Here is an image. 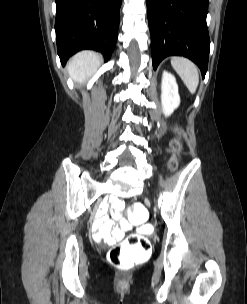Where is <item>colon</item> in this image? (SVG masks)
Segmentation results:
<instances>
[{
  "instance_id": "colon-1",
  "label": "colon",
  "mask_w": 247,
  "mask_h": 304,
  "mask_svg": "<svg viewBox=\"0 0 247 304\" xmlns=\"http://www.w3.org/2000/svg\"><path fill=\"white\" fill-rule=\"evenodd\" d=\"M171 147L174 152L171 167L174 168L177 165V154L181 145L179 141L175 140L172 142ZM127 216L129 218L125 219L126 225H143V227H138L137 233L129 235L120 244L113 246L107 256L110 264L123 269L137 265L145 259H150V253H152L151 241H148L147 237L142 235L149 234L153 228L152 224H147L149 214L148 210H146V203L129 202Z\"/></svg>"
}]
</instances>
